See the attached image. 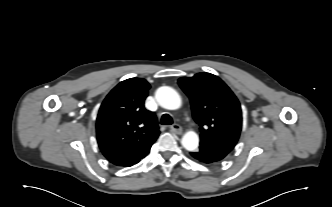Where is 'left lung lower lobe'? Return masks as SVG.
I'll return each instance as SVG.
<instances>
[{
	"label": "left lung lower lobe",
	"mask_w": 332,
	"mask_h": 207,
	"mask_svg": "<svg viewBox=\"0 0 332 207\" xmlns=\"http://www.w3.org/2000/svg\"><path fill=\"white\" fill-rule=\"evenodd\" d=\"M190 155L202 163L210 164L222 160L227 154L209 147L200 146L199 149L191 152Z\"/></svg>",
	"instance_id": "obj_1"
}]
</instances>
